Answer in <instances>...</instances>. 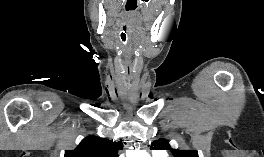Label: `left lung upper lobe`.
I'll return each instance as SVG.
<instances>
[{
    "mask_svg": "<svg viewBox=\"0 0 264 157\" xmlns=\"http://www.w3.org/2000/svg\"><path fill=\"white\" fill-rule=\"evenodd\" d=\"M155 149H165V150H171L176 157H199L196 150H178V149H172L170 145L168 144V141L164 139L158 140V142L154 146Z\"/></svg>",
    "mask_w": 264,
    "mask_h": 157,
    "instance_id": "1",
    "label": "left lung upper lobe"
}]
</instances>
